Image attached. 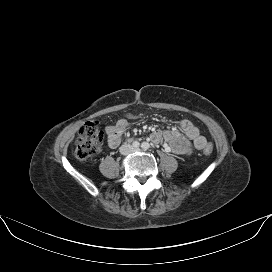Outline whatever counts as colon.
<instances>
[{
    "instance_id": "colon-1",
    "label": "colon",
    "mask_w": 272,
    "mask_h": 272,
    "mask_svg": "<svg viewBox=\"0 0 272 272\" xmlns=\"http://www.w3.org/2000/svg\"><path fill=\"white\" fill-rule=\"evenodd\" d=\"M103 134L99 129L97 121L87 122L79 131L75 140V155L78 159L85 161L101 151ZM213 145L207 144L204 148L205 154H211Z\"/></svg>"
}]
</instances>
